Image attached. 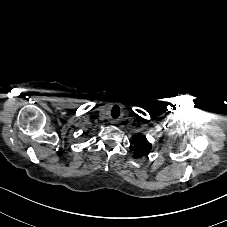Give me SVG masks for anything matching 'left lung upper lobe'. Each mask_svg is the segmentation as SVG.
Segmentation results:
<instances>
[{
  "label": "left lung upper lobe",
  "instance_id": "1",
  "mask_svg": "<svg viewBox=\"0 0 227 227\" xmlns=\"http://www.w3.org/2000/svg\"><path fill=\"white\" fill-rule=\"evenodd\" d=\"M151 144L148 142L145 136L138 134L135 135L132 140V146L130 151L134 153V158H141L147 156L151 151Z\"/></svg>",
  "mask_w": 227,
  "mask_h": 227
}]
</instances>
